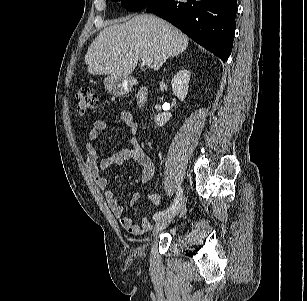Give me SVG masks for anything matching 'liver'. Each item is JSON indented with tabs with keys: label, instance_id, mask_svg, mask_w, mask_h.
I'll return each instance as SVG.
<instances>
[{
	"label": "liver",
	"instance_id": "liver-1",
	"mask_svg": "<svg viewBox=\"0 0 307 301\" xmlns=\"http://www.w3.org/2000/svg\"><path fill=\"white\" fill-rule=\"evenodd\" d=\"M189 38L154 15L141 14L105 28L90 45L85 63L92 75L127 77L143 56L153 59L159 70L169 57L184 52Z\"/></svg>",
	"mask_w": 307,
	"mask_h": 301
}]
</instances>
